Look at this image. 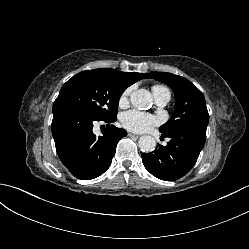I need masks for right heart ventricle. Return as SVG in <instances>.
Masks as SVG:
<instances>
[{
    "label": "right heart ventricle",
    "instance_id": "obj_1",
    "mask_svg": "<svg viewBox=\"0 0 249 249\" xmlns=\"http://www.w3.org/2000/svg\"><path fill=\"white\" fill-rule=\"evenodd\" d=\"M160 90H168L167 88H165L164 86L161 85H155L152 87V92L154 93L155 91H160Z\"/></svg>",
    "mask_w": 249,
    "mask_h": 249
}]
</instances>
